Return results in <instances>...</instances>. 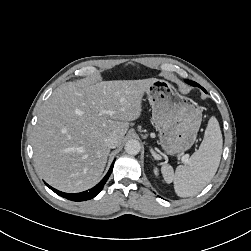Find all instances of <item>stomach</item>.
<instances>
[{
	"mask_svg": "<svg viewBox=\"0 0 251 251\" xmlns=\"http://www.w3.org/2000/svg\"><path fill=\"white\" fill-rule=\"evenodd\" d=\"M152 106V119L159 131L164 151L180 154L196 141L202 110L191 99L178 93L165 80L156 79L145 91Z\"/></svg>",
	"mask_w": 251,
	"mask_h": 251,
	"instance_id": "stomach-1",
	"label": "stomach"
}]
</instances>
